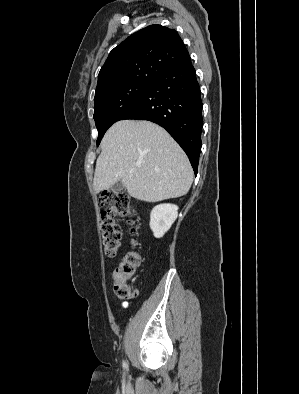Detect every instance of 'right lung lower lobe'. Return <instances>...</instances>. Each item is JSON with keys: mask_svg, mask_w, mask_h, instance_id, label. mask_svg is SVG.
I'll return each instance as SVG.
<instances>
[{"mask_svg": "<svg viewBox=\"0 0 299 394\" xmlns=\"http://www.w3.org/2000/svg\"><path fill=\"white\" fill-rule=\"evenodd\" d=\"M165 128L187 154L195 174L201 151L202 101L190 56L157 77L120 117Z\"/></svg>", "mask_w": 299, "mask_h": 394, "instance_id": "98d812e1", "label": "right lung lower lobe"}]
</instances>
